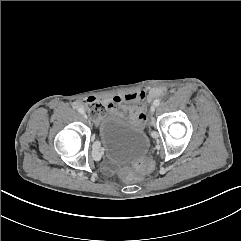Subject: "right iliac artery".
I'll list each match as a JSON object with an SVG mask.
<instances>
[{
  "instance_id": "82829eb1",
  "label": "right iliac artery",
  "mask_w": 241,
  "mask_h": 241,
  "mask_svg": "<svg viewBox=\"0 0 241 241\" xmlns=\"http://www.w3.org/2000/svg\"><path fill=\"white\" fill-rule=\"evenodd\" d=\"M79 113H84V110L82 108H78Z\"/></svg>"
}]
</instances>
